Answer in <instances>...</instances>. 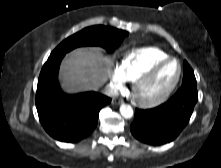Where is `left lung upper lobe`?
<instances>
[{
	"mask_svg": "<svg viewBox=\"0 0 221 168\" xmlns=\"http://www.w3.org/2000/svg\"><path fill=\"white\" fill-rule=\"evenodd\" d=\"M183 68H184V74H183L182 84L188 83V82L196 83L194 72H193L192 68L190 67V65L186 61H184V63H183Z\"/></svg>",
	"mask_w": 221,
	"mask_h": 168,
	"instance_id": "obj_1",
	"label": "left lung upper lobe"
}]
</instances>
